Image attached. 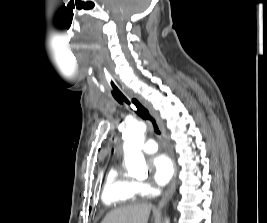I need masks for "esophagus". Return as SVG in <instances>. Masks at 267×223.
Wrapping results in <instances>:
<instances>
[{"instance_id":"esophagus-1","label":"esophagus","mask_w":267,"mask_h":223,"mask_svg":"<svg viewBox=\"0 0 267 223\" xmlns=\"http://www.w3.org/2000/svg\"><path fill=\"white\" fill-rule=\"evenodd\" d=\"M150 111H151L153 117L155 118L160 130L163 132V134H165V128H164L162 120L160 119L158 114L151 107H150ZM174 191H175V183L173 182L172 185L170 186V188L165 192L162 199L159 201L158 206L162 207L164 204H166L169 201L170 197L173 195Z\"/></svg>"}]
</instances>
